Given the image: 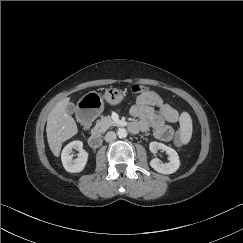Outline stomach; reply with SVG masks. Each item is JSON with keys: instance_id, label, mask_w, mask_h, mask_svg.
Listing matches in <instances>:
<instances>
[{"instance_id": "obj_1", "label": "stomach", "mask_w": 243, "mask_h": 243, "mask_svg": "<svg viewBox=\"0 0 243 243\" xmlns=\"http://www.w3.org/2000/svg\"><path fill=\"white\" fill-rule=\"evenodd\" d=\"M124 97L123 91L113 87L106 89L103 96L92 91L79 100V110H90L97 116L104 110V100L110 105H117L123 101Z\"/></svg>"}]
</instances>
